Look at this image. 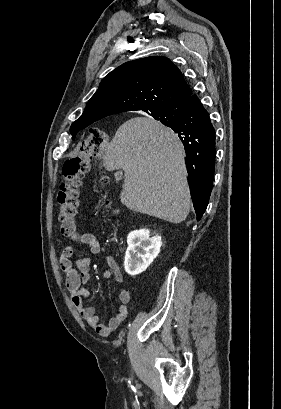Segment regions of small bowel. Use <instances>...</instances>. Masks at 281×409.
<instances>
[{"mask_svg": "<svg viewBox=\"0 0 281 409\" xmlns=\"http://www.w3.org/2000/svg\"><path fill=\"white\" fill-rule=\"evenodd\" d=\"M62 234L71 240L86 246L93 255L100 252V243L91 233H79L77 231L76 221H66L61 226ZM75 248L66 246L60 254V267L66 274V288L70 293L71 300L80 316L100 335L106 336L114 331L127 317L130 292L127 289H121L118 294L119 306L114 316L107 324L101 323L96 315V308L85 306L84 301L90 297V291L85 285L90 280V263L88 257L79 258L73 262ZM107 268L103 275L106 278H113L118 283L124 281L120 268L112 256L106 257Z\"/></svg>", "mask_w": 281, "mask_h": 409, "instance_id": "1", "label": "small bowel"}]
</instances>
